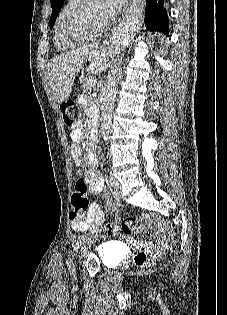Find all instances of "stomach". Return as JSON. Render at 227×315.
<instances>
[{
	"label": "stomach",
	"instance_id": "obj_1",
	"mask_svg": "<svg viewBox=\"0 0 227 315\" xmlns=\"http://www.w3.org/2000/svg\"><path fill=\"white\" fill-rule=\"evenodd\" d=\"M94 70H97V65L94 62V55L90 54L87 56L86 68L84 70L85 82H92L93 80L92 73Z\"/></svg>",
	"mask_w": 227,
	"mask_h": 315
}]
</instances>
